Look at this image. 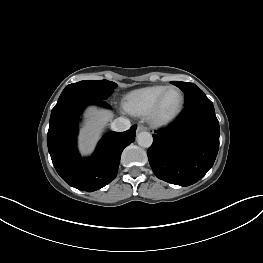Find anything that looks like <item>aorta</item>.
Masks as SVG:
<instances>
[{
	"label": "aorta",
	"instance_id": "obj_1",
	"mask_svg": "<svg viewBox=\"0 0 263 263\" xmlns=\"http://www.w3.org/2000/svg\"><path fill=\"white\" fill-rule=\"evenodd\" d=\"M153 137L149 132L143 131L137 135V143L139 146L148 148L152 145Z\"/></svg>",
	"mask_w": 263,
	"mask_h": 263
}]
</instances>
